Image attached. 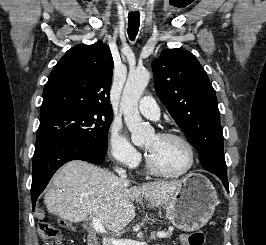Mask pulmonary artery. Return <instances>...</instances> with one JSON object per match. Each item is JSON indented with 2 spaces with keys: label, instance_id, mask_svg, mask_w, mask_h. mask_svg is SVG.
I'll return each mask as SVG.
<instances>
[{
  "label": "pulmonary artery",
  "instance_id": "e3ab8cb5",
  "mask_svg": "<svg viewBox=\"0 0 266 245\" xmlns=\"http://www.w3.org/2000/svg\"><path fill=\"white\" fill-rule=\"evenodd\" d=\"M154 96H143V100L138 104L140 112L147 118L158 119L160 116L159 106L154 103Z\"/></svg>",
  "mask_w": 266,
  "mask_h": 245
}]
</instances>
